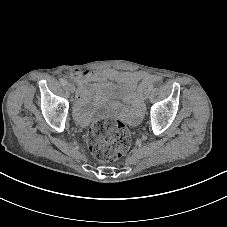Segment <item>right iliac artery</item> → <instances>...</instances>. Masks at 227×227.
<instances>
[{"label":"right iliac artery","mask_w":227,"mask_h":227,"mask_svg":"<svg viewBox=\"0 0 227 227\" xmlns=\"http://www.w3.org/2000/svg\"><path fill=\"white\" fill-rule=\"evenodd\" d=\"M67 83H68V82H67L65 79H62V80H61V84H62L63 86L67 85Z\"/></svg>","instance_id":"82829eb1"}]
</instances>
